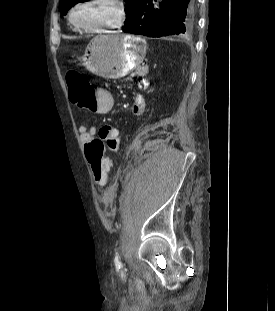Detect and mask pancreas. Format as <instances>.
I'll use <instances>...</instances> for the list:
<instances>
[{
	"mask_svg": "<svg viewBox=\"0 0 275 311\" xmlns=\"http://www.w3.org/2000/svg\"><path fill=\"white\" fill-rule=\"evenodd\" d=\"M147 66H140L137 70L133 73V75L143 76L147 73Z\"/></svg>",
	"mask_w": 275,
	"mask_h": 311,
	"instance_id": "pancreas-1",
	"label": "pancreas"
}]
</instances>
